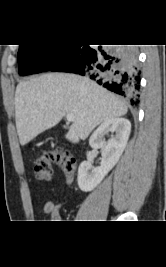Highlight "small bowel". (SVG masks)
Instances as JSON below:
<instances>
[{
    "mask_svg": "<svg viewBox=\"0 0 166 267\" xmlns=\"http://www.w3.org/2000/svg\"><path fill=\"white\" fill-rule=\"evenodd\" d=\"M62 205L53 201H46L43 205V212L50 222H57L60 220V211Z\"/></svg>",
    "mask_w": 166,
    "mask_h": 267,
    "instance_id": "c3829d8e",
    "label": "small bowel"
}]
</instances>
